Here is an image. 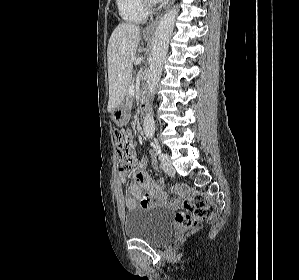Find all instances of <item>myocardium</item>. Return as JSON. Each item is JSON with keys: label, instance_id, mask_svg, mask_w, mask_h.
<instances>
[{"label": "myocardium", "instance_id": "f54148a6", "mask_svg": "<svg viewBox=\"0 0 299 280\" xmlns=\"http://www.w3.org/2000/svg\"><path fill=\"white\" fill-rule=\"evenodd\" d=\"M142 3L147 11L153 10V4L151 0H142Z\"/></svg>", "mask_w": 299, "mask_h": 280}]
</instances>
